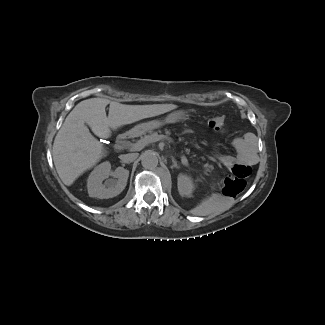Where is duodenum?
Masks as SVG:
<instances>
[{
  "mask_svg": "<svg viewBox=\"0 0 325 325\" xmlns=\"http://www.w3.org/2000/svg\"><path fill=\"white\" fill-rule=\"evenodd\" d=\"M127 138H128L127 135L121 136L116 143L117 148L121 149L122 147H125L127 144Z\"/></svg>",
  "mask_w": 325,
  "mask_h": 325,
  "instance_id": "1",
  "label": "duodenum"
}]
</instances>
